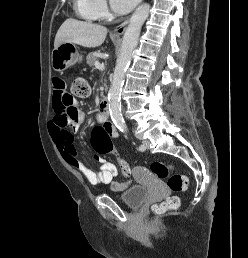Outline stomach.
I'll use <instances>...</instances> for the list:
<instances>
[{"label":"stomach","mask_w":248,"mask_h":258,"mask_svg":"<svg viewBox=\"0 0 248 258\" xmlns=\"http://www.w3.org/2000/svg\"><path fill=\"white\" fill-rule=\"evenodd\" d=\"M83 56L73 43H62L53 50L51 66L57 72H63L67 68L81 63Z\"/></svg>","instance_id":"0dacf381"}]
</instances>
